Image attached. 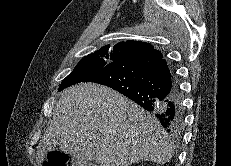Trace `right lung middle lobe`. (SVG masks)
I'll return each mask as SVG.
<instances>
[{
  "mask_svg": "<svg viewBox=\"0 0 231 166\" xmlns=\"http://www.w3.org/2000/svg\"><path fill=\"white\" fill-rule=\"evenodd\" d=\"M115 60H117L115 56L107 53L95 52L94 54L85 56L76 65L74 70L62 81L59 86V91L76 83L82 82Z\"/></svg>",
  "mask_w": 231,
  "mask_h": 166,
  "instance_id": "dd1d6c3e",
  "label": "right lung middle lobe"
}]
</instances>
